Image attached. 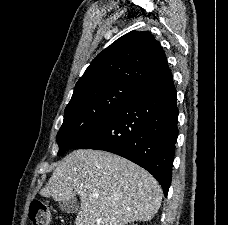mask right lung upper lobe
<instances>
[{"instance_id":"obj_1","label":"right lung upper lobe","mask_w":228,"mask_h":225,"mask_svg":"<svg viewBox=\"0 0 228 225\" xmlns=\"http://www.w3.org/2000/svg\"><path fill=\"white\" fill-rule=\"evenodd\" d=\"M166 66V55L154 36L149 32L131 31L96 56L76 83L71 101L89 88L112 82L140 88Z\"/></svg>"}]
</instances>
